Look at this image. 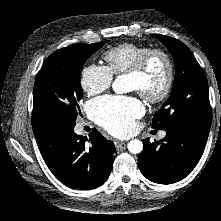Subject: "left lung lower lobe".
Segmentation results:
<instances>
[{
    "label": "left lung lower lobe",
    "mask_w": 221,
    "mask_h": 221,
    "mask_svg": "<svg viewBox=\"0 0 221 221\" xmlns=\"http://www.w3.org/2000/svg\"><path fill=\"white\" fill-rule=\"evenodd\" d=\"M210 127L182 123L171 126L163 140L143 142L138 165L141 173L158 184H172L185 178L199 162Z\"/></svg>",
    "instance_id": "0a47b994"
}]
</instances>
